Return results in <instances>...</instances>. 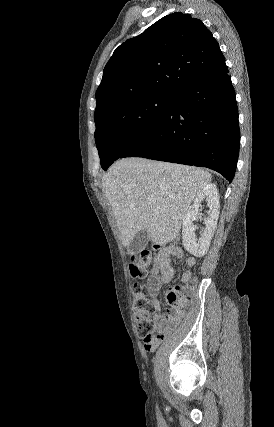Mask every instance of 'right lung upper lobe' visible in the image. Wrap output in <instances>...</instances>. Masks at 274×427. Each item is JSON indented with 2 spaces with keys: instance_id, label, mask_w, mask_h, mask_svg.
<instances>
[{
  "instance_id": "right-lung-upper-lobe-1",
  "label": "right lung upper lobe",
  "mask_w": 274,
  "mask_h": 427,
  "mask_svg": "<svg viewBox=\"0 0 274 427\" xmlns=\"http://www.w3.org/2000/svg\"><path fill=\"white\" fill-rule=\"evenodd\" d=\"M225 66L218 42L201 20L169 14L114 51L96 91L94 117L133 96L175 95Z\"/></svg>"
}]
</instances>
